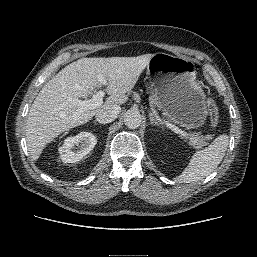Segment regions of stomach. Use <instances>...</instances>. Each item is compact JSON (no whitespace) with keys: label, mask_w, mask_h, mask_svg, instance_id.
I'll return each instance as SVG.
<instances>
[{"label":"stomach","mask_w":257,"mask_h":257,"mask_svg":"<svg viewBox=\"0 0 257 257\" xmlns=\"http://www.w3.org/2000/svg\"><path fill=\"white\" fill-rule=\"evenodd\" d=\"M147 71L158 108L169 120L187 129L205 124L206 95L196 80L192 60L159 52L153 54Z\"/></svg>","instance_id":"stomach-1"}]
</instances>
